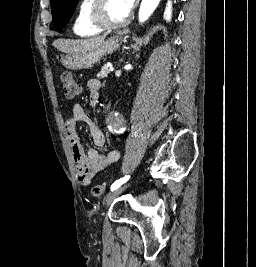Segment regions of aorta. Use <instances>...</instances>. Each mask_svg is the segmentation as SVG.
I'll return each instance as SVG.
<instances>
[{
    "mask_svg": "<svg viewBox=\"0 0 256 267\" xmlns=\"http://www.w3.org/2000/svg\"><path fill=\"white\" fill-rule=\"evenodd\" d=\"M159 2H161V0H142L138 12L139 24H143V22H146V20L150 18L151 14L155 12ZM106 122H125V117H106Z\"/></svg>",
    "mask_w": 256,
    "mask_h": 267,
    "instance_id": "aorta-1",
    "label": "aorta"
}]
</instances>
